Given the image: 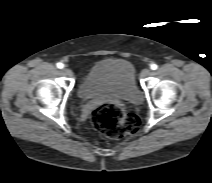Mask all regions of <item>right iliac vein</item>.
I'll use <instances>...</instances> for the list:
<instances>
[{"instance_id": "63e3f726", "label": "right iliac vein", "mask_w": 212, "mask_h": 183, "mask_svg": "<svg viewBox=\"0 0 212 183\" xmlns=\"http://www.w3.org/2000/svg\"><path fill=\"white\" fill-rule=\"evenodd\" d=\"M63 72L65 75L71 77L73 75V72L69 68H64Z\"/></svg>"}]
</instances>
